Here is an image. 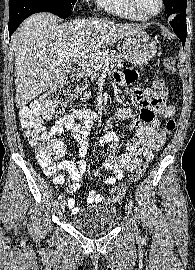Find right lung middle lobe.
I'll list each match as a JSON object with an SVG mask.
<instances>
[{
	"label": "right lung middle lobe",
	"mask_w": 195,
	"mask_h": 270,
	"mask_svg": "<svg viewBox=\"0 0 195 270\" xmlns=\"http://www.w3.org/2000/svg\"><path fill=\"white\" fill-rule=\"evenodd\" d=\"M47 2L52 9V13L60 18H67L71 15L77 0H39Z\"/></svg>",
	"instance_id": "1"
}]
</instances>
